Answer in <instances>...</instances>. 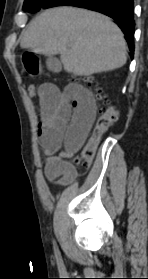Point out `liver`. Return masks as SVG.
I'll list each match as a JSON object with an SVG mask.
<instances>
[{"mask_svg":"<svg viewBox=\"0 0 148 279\" xmlns=\"http://www.w3.org/2000/svg\"><path fill=\"white\" fill-rule=\"evenodd\" d=\"M20 46L36 54H60L65 71L76 76L114 70L127 60L123 33L110 18L73 7L41 13L24 32Z\"/></svg>","mask_w":148,"mask_h":279,"instance_id":"6515ba94","label":"liver"}]
</instances>
